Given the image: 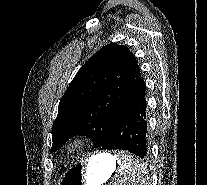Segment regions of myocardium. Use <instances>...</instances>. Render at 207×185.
Instances as JSON below:
<instances>
[{
	"instance_id": "obj_1",
	"label": "myocardium",
	"mask_w": 207,
	"mask_h": 185,
	"mask_svg": "<svg viewBox=\"0 0 207 185\" xmlns=\"http://www.w3.org/2000/svg\"><path fill=\"white\" fill-rule=\"evenodd\" d=\"M87 145V138L83 135H76L63 145V153L69 157L79 155Z\"/></svg>"
}]
</instances>
